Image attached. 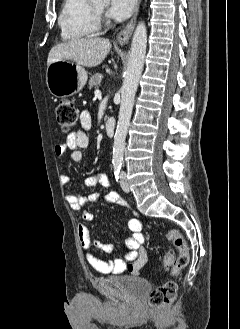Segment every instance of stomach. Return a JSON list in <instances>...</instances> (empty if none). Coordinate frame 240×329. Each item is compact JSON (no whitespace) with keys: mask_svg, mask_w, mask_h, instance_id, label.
Masks as SVG:
<instances>
[{"mask_svg":"<svg viewBox=\"0 0 240 329\" xmlns=\"http://www.w3.org/2000/svg\"><path fill=\"white\" fill-rule=\"evenodd\" d=\"M87 78L85 69L69 60L55 61L47 67V87L58 98L70 97L79 92Z\"/></svg>","mask_w":240,"mask_h":329,"instance_id":"obj_1","label":"stomach"}]
</instances>
